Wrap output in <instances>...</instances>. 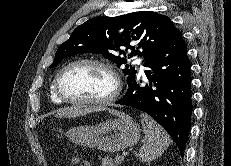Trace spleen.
I'll return each instance as SVG.
<instances>
[{"mask_svg":"<svg viewBox=\"0 0 231 166\" xmlns=\"http://www.w3.org/2000/svg\"><path fill=\"white\" fill-rule=\"evenodd\" d=\"M140 117L146 139L139 150L138 157L142 162H150L160 157L172 140L168 133L149 115L141 113Z\"/></svg>","mask_w":231,"mask_h":166,"instance_id":"1","label":"spleen"}]
</instances>
